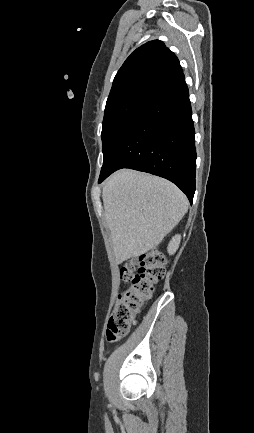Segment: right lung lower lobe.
<instances>
[{
    "instance_id": "98d812e1",
    "label": "right lung lower lobe",
    "mask_w": 254,
    "mask_h": 433,
    "mask_svg": "<svg viewBox=\"0 0 254 433\" xmlns=\"http://www.w3.org/2000/svg\"><path fill=\"white\" fill-rule=\"evenodd\" d=\"M195 130L188 87L180 74L158 90L119 134L99 183L114 171L131 168L166 178L190 203L195 193Z\"/></svg>"
}]
</instances>
